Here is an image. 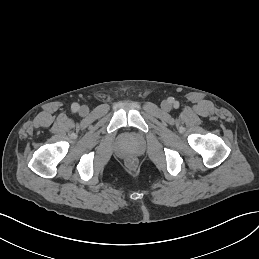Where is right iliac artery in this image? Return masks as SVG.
Listing matches in <instances>:
<instances>
[{
  "instance_id": "82829eb1",
  "label": "right iliac artery",
  "mask_w": 259,
  "mask_h": 259,
  "mask_svg": "<svg viewBox=\"0 0 259 259\" xmlns=\"http://www.w3.org/2000/svg\"><path fill=\"white\" fill-rule=\"evenodd\" d=\"M72 110L74 112L78 111L79 110V104L78 103H73L72 106H71Z\"/></svg>"
}]
</instances>
